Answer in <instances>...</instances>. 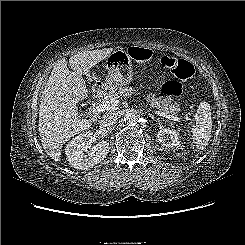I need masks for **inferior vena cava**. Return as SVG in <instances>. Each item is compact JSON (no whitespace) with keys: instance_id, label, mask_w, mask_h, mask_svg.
<instances>
[{"instance_id":"1","label":"inferior vena cava","mask_w":245,"mask_h":245,"mask_svg":"<svg viewBox=\"0 0 245 245\" xmlns=\"http://www.w3.org/2000/svg\"><path fill=\"white\" fill-rule=\"evenodd\" d=\"M119 115L115 112H110L102 116L100 120V125L103 128L110 129L112 128L118 121Z\"/></svg>"}]
</instances>
